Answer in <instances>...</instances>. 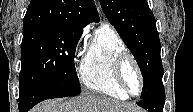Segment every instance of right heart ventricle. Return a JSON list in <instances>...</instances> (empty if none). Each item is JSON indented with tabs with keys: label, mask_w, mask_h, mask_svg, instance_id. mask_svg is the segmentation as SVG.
<instances>
[{
	"label": "right heart ventricle",
	"mask_w": 193,
	"mask_h": 112,
	"mask_svg": "<svg viewBox=\"0 0 193 112\" xmlns=\"http://www.w3.org/2000/svg\"><path fill=\"white\" fill-rule=\"evenodd\" d=\"M126 50L119 34L109 25H102L92 38L79 69L82 84L89 90L125 100L129 96L118 85L113 73L116 55Z\"/></svg>",
	"instance_id": "right-heart-ventricle-1"
}]
</instances>
